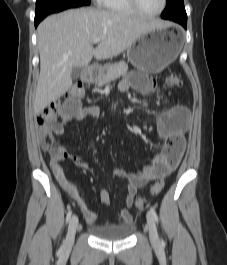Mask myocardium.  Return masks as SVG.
Returning <instances> with one entry per match:
<instances>
[{"label":"myocardium","mask_w":227,"mask_h":265,"mask_svg":"<svg viewBox=\"0 0 227 265\" xmlns=\"http://www.w3.org/2000/svg\"><path fill=\"white\" fill-rule=\"evenodd\" d=\"M131 7L135 10V12L140 15V16H143V17H155V16H158L159 14H161L164 9L166 8V5H167V0H162V5L160 7V9L154 13H145L143 12L140 7H139V4H138V1L137 0H128Z\"/></svg>","instance_id":"obj_1"}]
</instances>
